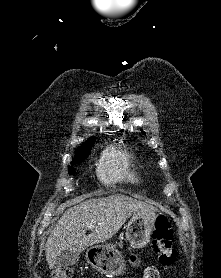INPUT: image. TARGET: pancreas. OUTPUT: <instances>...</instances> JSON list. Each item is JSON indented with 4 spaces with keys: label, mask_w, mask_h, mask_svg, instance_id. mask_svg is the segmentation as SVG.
<instances>
[{
    "label": "pancreas",
    "mask_w": 221,
    "mask_h": 278,
    "mask_svg": "<svg viewBox=\"0 0 221 278\" xmlns=\"http://www.w3.org/2000/svg\"><path fill=\"white\" fill-rule=\"evenodd\" d=\"M119 245V247H121L122 246V244H118Z\"/></svg>",
    "instance_id": "obj_1"
}]
</instances>
